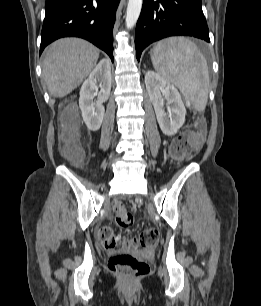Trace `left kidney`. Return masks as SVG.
Segmentation results:
<instances>
[{
    "label": "left kidney",
    "mask_w": 261,
    "mask_h": 306,
    "mask_svg": "<svg viewBox=\"0 0 261 306\" xmlns=\"http://www.w3.org/2000/svg\"><path fill=\"white\" fill-rule=\"evenodd\" d=\"M145 85L161 131L167 136L174 135L183 126L186 115L179 91L154 71H147L145 74ZM161 93L170 108L169 115L165 113Z\"/></svg>",
    "instance_id": "5707ae66"
}]
</instances>
